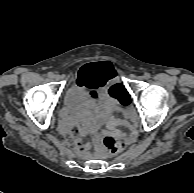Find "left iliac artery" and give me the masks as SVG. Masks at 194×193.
Here are the masks:
<instances>
[{
  "label": "left iliac artery",
  "instance_id": "44dca946",
  "mask_svg": "<svg viewBox=\"0 0 194 193\" xmlns=\"http://www.w3.org/2000/svg\"><path fill=\"white\" fill-rule=\"evenodd\" d=\"M150 76H151L150 73H145V74H144L145 79H149Z\"/></svg>",
  "mask_w": 194,
  "mask_h": 193
}]
</instances>
